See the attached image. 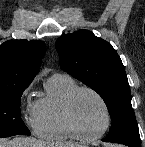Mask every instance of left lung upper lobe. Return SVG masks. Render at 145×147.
I'll return each instance as SVG.
<instances>
[{
    "label": "left lung upper lobe",
    "mask_w": 145,
    "mask_h": 147,
    "mask_svg": "<svg viewBox=\"0 0 145 147\" xmlns=\"http://www.w3.org/2000/svg\"><path fill=\"white\" fill-rule=\"evenodd\" d=\"M55 47L62 70L104 100L113 121L105 141L140 147L125 68L112 45L88 30H80L59 37Z\"/></svg>",
    "instance_id": "left-lung-upper-lobe-1"
}]
</instances>
